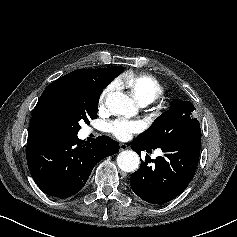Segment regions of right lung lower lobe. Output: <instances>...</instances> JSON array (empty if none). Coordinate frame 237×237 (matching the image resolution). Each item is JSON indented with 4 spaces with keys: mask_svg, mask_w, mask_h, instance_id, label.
<instances>
[{
    "mask_svg": "<svg viewBox=\"0 0 237 237\" xmlns=\"http://www.w3.org/2000/svg\"><path fill=\"white\" fill-rule=\"evenodd\" d=\"M119 144L108 136L83 144L76 135L47 133L27 141V163L38 187L48 195L70 197L87 182L94 166L116 154Z\"/></svg>",
    "mask_w": 237,
    "mask_h": 237,
    "instance_id": "98d812e1",
    "label": "right lung lower lobe"
}]
</instances>
